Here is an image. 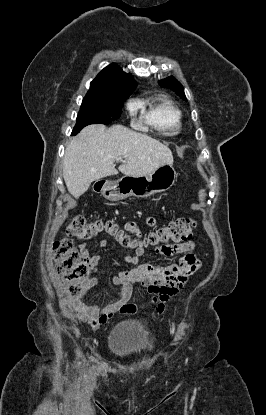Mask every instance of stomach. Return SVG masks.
<instances>
[{
  "label": "stomach",
  "instance_id": "0dacf381",
  "mask_svg": "<svg viewBox=\"0 0 266 415\" xmlns=\"http://www.w3.org/2000/svg\"><path fill=\"white\" fill-rule=\"evenodd\" d=\"M176 178L174 167L164 164L149 175H125L117 181H108L103 185L101 194L109 201H120L128 197L147 198L169 190Z\"/></svg>",
  "mask_w": 266,
  "mask_h": 415
}]
</instances>
